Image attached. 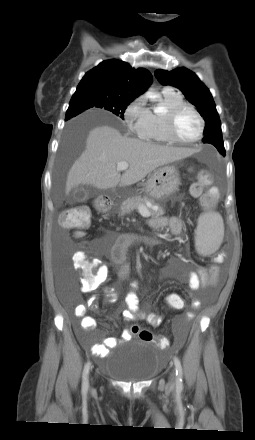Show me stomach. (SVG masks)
<instances>
[{"label": "stomach", "mask_w": 255, "mask_h": 440, "mask_svg": "<svg viewBox=\"0 0 255 440\" xmlns=\"http://www.w3.org/2000/svg\"><path fill=\"white\" fill-rule=\"evenodd\" d=\"M180 185L179 172L174 166H164L156 169L145 184V191L150 197L161 200L169 197L178 190Z\"/></svg>", "instance_id": "1"}]
</instances>
